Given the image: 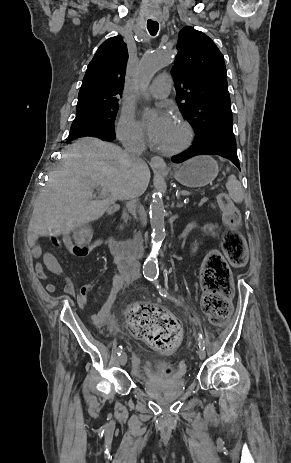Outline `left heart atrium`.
I'll use <instances>...</instances> for the list:
<instances>
[{
	"mask_svg": "<svg viewBox=\"0 0 291 463\" xmlns=\"http://www.w3.org/2000/svg\"><path fill=\"white\" fill-rule=\"evenodd\" d=\"M176 125L175 118L162 110H149L144 115V126L150 142L162 147Z\"/></svg>",
	"mask_w": 291,
	"mask_h": 463,
	"instance_id": "left-heart-atrium-1",
	"label": "left heart atrium"
}]
</instances>
